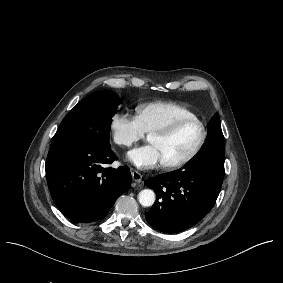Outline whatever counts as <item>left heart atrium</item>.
<instances>
[{
  "mask_svg": "<svg viewBox=\"0 0 283 283\" xmlns=\"http://www.w3.org/2000/svg\"><path fill=\"white\" fill-rule=\"evenodd\" d=\"M127 159L141 170L155 169L165 164L163 153L153 144L132 149Z\"/></svg>",
  "mask_w": 283,
  "mask_h": 283,
  "instance_id": "obj_1",
  "label": "left heart atrium"
}]
</instances>
